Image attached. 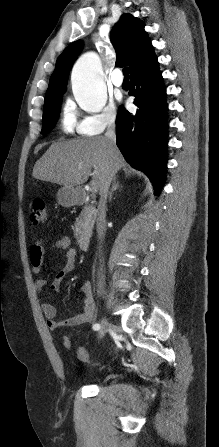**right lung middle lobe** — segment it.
I'll return each instance as SVG.
<instances>
[{"instance_id": "obj_1", "label": "right lung middle lobe", "mask_w": 219, "mask_h": 447, "mask_svg": "<svg viewBox=\"0 0 219 447\" xmlns=\"http://www.w3.org/2000/svg\"><path fill=\"white\" fill-rule=\"evenodd\" d=\"M63 94L64 93H60L45 99L43 109V126L41 131L42 134L49 132L56 125Z\"/></svg>"}]
</instances>
